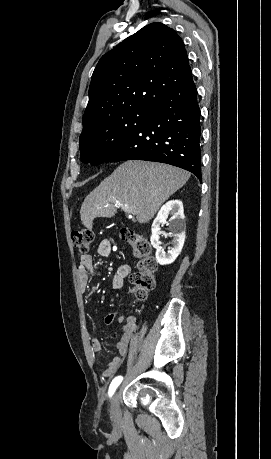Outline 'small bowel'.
I'll list each match as a JSON object with an SVG mask.
<instances>
[{"label":"small bowel","instance_id":"1","mask_svg":"<svg viewBox=\"0 0 271 459\" xmlns=\"http://www.w3.org/2000/svg\"><path fill=\"white\" fill-rule=\"evenodd\" d=\"M112 252V246L109 240L103 239L97 246V254L100 257H108ZM77 273L80 286L83 291L86 290L89 277L91 275H97L93 264V258L89 254H84L80 257L77 264ZM130 274V267L127 265L120 266L112 280V289L118 290L122 288L125 278ZM116 318V313L112 312L106 315L104 318L105 325H110ZM119 322L122 324L123 334L116 344V348L121 356H126L133 340L134 334L138 329L136 318L133 316L120 317ZM91 349L94 352L101 350V342L97 338L91 340ZM121 365V359L119 357L112 358L106 369L103 372L104 378H110L117 373Z\"/></svg>","mask_w":271,"mask_h":459}]
</instances>
